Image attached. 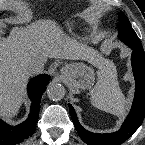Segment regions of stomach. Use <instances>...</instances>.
<instances>
[{"label": "stomach", "mask_w": 145, "mask_h": 145, "mask_svg": "<svg viewBox=\"0 0 145 145\" xmlns=\"http://www.w3.org/2000/svg\"><path fill=\"white\" fill-rule=\"evenodd\" d=\"M64 77L73 81L79 78V80L75 82L83 87L90 88L94 82V71L81 62L71 63L65 66Z\"/></svg>", "instance_id": "obj_1"}]
</instances>
